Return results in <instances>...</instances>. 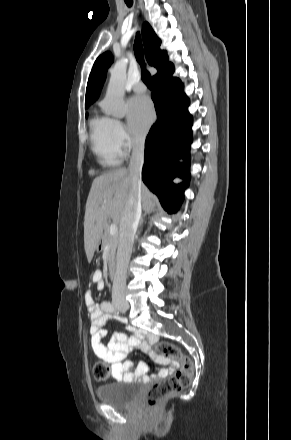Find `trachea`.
<instances>
[{
    "mask_svg": "<svg viewBox=\"0 0 291 440\" xmlns=\"http://www.w3.org/2000/svg\"><path fill=\"white\" fill-rule=\"evenodd\" d=\"M125 3L128 6H131L132 0H125ZM134 51H135V57L142 67V69H141L142 80L147 85V87L151 88V75L145 68V64L143 61V48H142V43H141L139 34L136 35V39L134 42Z\"/></svg>",
    "mask_w": 291,
    "mask_h": 440,
    "instance_id": "3493384b",
    "label": "trachea"
}]
</instances>
